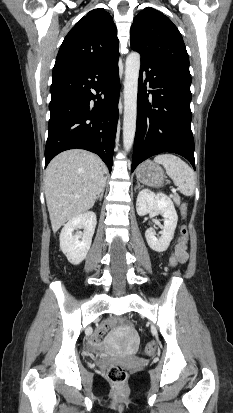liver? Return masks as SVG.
Returning <instances> with one entry per match:
<instances>
[{
    "mask_svg": "<svg viewBox=\"0 0 233 413\" xmlns=\"http://www.w3.org/2000/svg\"><path fill=\"white\" fill-rule=\"evenodd\" d=\"M106 171L97 155L81 149L62 152L49 163L44 191L54 233L93 207L105 186Z\"/></svg>",
    "mask_w": 233,
    "mask_h": 413,
    "instance_id": "liver-1",
    "label": "liver"
}]
</instances>
